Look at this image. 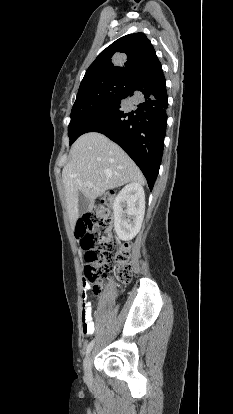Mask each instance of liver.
<instances>
[{
    "mask_svg": "<svg viewBox=\"0 0 233 414\" xmlns=\"http://www.w3.org/2000/svg\"><path fill=\"white\" fill-rule=\"evenodd\" d=\"M71 161L63 168L67 212L75 226L78 218L79 193L90 201L91 211L95 199L107 190L129 182L144 184V176L132 159L114 142L101 133L81 135L71 147Z\"/></svg>",
    "mask_w": 233,
    "mask_h": 414,
    "instance_id": "1",
    "label": "liver"
}]
</instances>
